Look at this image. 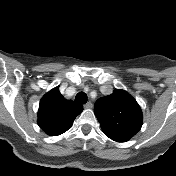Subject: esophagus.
Returning <instances> with one entry per match:
<instances>
[{
  "mask_svg": "<svg viewBox=\"0 0 176 176\" xmlns=\"http://www.w3.org/2000/svg\"><path fill=\"white\" fill-rule=\"evenodd\" d=\"M84 108L91 109V108H93V104L91 102H88L84 105Z\"/></svg>",
  "mask_w": 176,
  "mask_h": 176,
  "instance_id": "obj_1",
  "label": "esophagus"
}]
</instances>
